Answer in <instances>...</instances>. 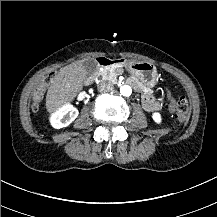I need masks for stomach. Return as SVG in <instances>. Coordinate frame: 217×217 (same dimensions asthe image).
Segmentation results:
<instances>
[{
  "instance_id": "1",
  "label": "stomach",
  "mask_w": 217,
  "mask_h": 217,
  "mask_svg": "<svg viewBox=\"0 0 217 217\" xmlns=\"http://www.w3.org/2000/svg\"><path fill=\"white\" fill-rule=\"evenodd\" d=\"M123 66L147 88L151 89L157 84L158 74L153 63L130 60L125 61Z\"/></svg>"
}]
</instances>
